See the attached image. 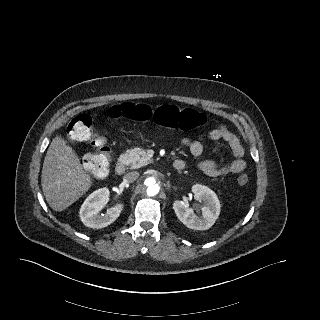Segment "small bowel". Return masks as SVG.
I'll list each match as a JSON object with an SVG mask.
<instances>
[{"label":"small bowel","instance_id":"small-bowel-1","mask_svg":"<svg viewBox=\"0 0 320 320\" xmlns=\"http://www.w3.org/2000/svg\"><path fill=\"white\" fill-rule=\"evenodd\" d=\"M209 139L212 141H225L234 156V160L223 166H220L216 161L210 159L202 161L199 164V169L203 173L211 177H222L228 174H238L246 168V161L243 159L244 147L234 133L225 126L220 125L209 132ZM182 144L185 145L194 156H200L203 152L204 147L200 141L184 138Z\"/></svg>","mask_w":320,"mask_h":320}]
</instances>
